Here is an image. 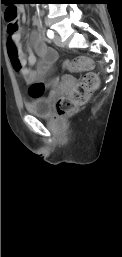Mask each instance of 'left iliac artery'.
<instances>
[{
	"instance_id": "obj_1",
	"label": "left iliac artery",
	"mask_w": 122,
	"mask_h": 257,
	"mask_svg": "<svg viewBox=\"0 0 122 257\" xmlns=\"http://www.w3.org/2000/svg\"><path fill=\"white\" fill-rule=\"evenodd\" d=\"M47 36H48V38L52 39L54 37L53 31L52 30H47Z\"/></svg>"
}]
</instances>
